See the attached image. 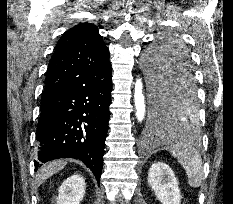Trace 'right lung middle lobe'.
<instances>
[{"mask_svg": "<svg viewBox=\"0 0 233 204\" xmlns=\"http://www.w3.org/2000/svg\"><path fill=\"white\" fill-rule=\"evenodd\" d=\"M50 122V117L40 116L37 125V133L41 132Z\"/></svg>", "mask_w": 233, "mask_h": 204, "instance_id": "1", "label": "right lung middle lobe"}]
</instances>
